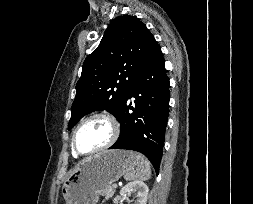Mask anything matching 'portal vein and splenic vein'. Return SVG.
I'll use <instances>...</instances> for the list:
<instances>
[{
    "label": "portal vein and splenic vein",
    "instance_id": "1",
    "mask_svg": "<svg viewBox=\"0 0 253 204\" xmlns=\"http://www.w3.org/2000/svg\"><path fill=\"white\" fill-rule=\"evenodd\" d=\"M113 187H114V188H117V187H118V185L115 183V184H113Z\"/></svg>",
    "mask_w": 253,
    "mask_h": 204
}]
</instances>
